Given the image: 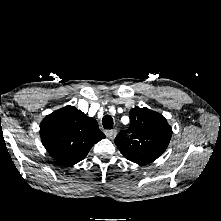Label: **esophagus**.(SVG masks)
<instances>
[{
  "mask_svg": "<svg viewBox=\"0 0 221 221\" xmlns=\"http://www.w3.org/2000/svg\"><path fill=\"white\" fill-rule=\"evenodd\" d=\"M116 134H117V131H116L115 129H113V130H108V131L106 132V136H107L109 139H111V140L115 138Z\"/></svg>",
  "mask_w": 221,
  "mask_h": 221,
  "instance_id": "esophagus-1",
  "label": "esophagus"
}]
</instances>
